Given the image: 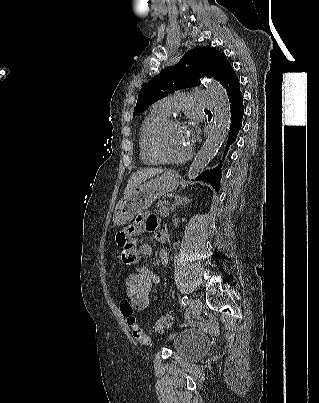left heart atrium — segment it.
<instances>
[{
	"label": "left heart atrium",
	"instance_id": "39dd6f15",
	"mask_svg": "<svg viewBox=\"0 0 319 403\" xmlns=\"http://www.w3.org/2000/svg\"><path fill=\"white\" fill-rule=\"evenodd\" d=\"M185 134L188 142L191 144L193 141V132L189 127L185 128Z\"/></svg>",
	"mask_w": 319,
	"mask_h": 403
}]
</instances>
